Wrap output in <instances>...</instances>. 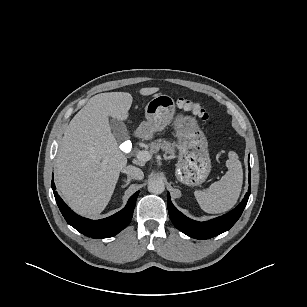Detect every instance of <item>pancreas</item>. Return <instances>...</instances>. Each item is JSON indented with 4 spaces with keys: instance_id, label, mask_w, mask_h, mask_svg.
<instances>
[{
    "instance_id": "pancreas-1",
    "label": "pancreas",
    "mask_w": 307,
    "mask_h": 307,
    "mask_svg": "<svg viewBox=\"0 0 307 307\" xmlns=\"http://www.w3.org/2000/svg\"><path fill=\"white\" fill-rule=\"evenodd\" d=\"M175 143L166 141L164 139H158L150 144V150L153 153H157L160 149L164 150L166 153L174 155L175 154Z\"/></svg>"
}]
</instances>
